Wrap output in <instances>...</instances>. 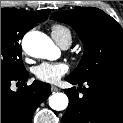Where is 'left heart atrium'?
Wrapping results in <instances>:
<instances>
[{"instance_id": "1", "label": "left heart atrium", "mask_w": 123, "mask_h": 123, "mask_svg": "<svg viewBox=\"0 0 123 123\" xmlns=\"http://www.w3.org/2000/svg\"><path fill=\"white\" fill-rule=\"evenodd\" d=\"M68 70V65L62 62H43L34 68V74L42 82L56 83Z\"/></svg>"}]
</instances>
